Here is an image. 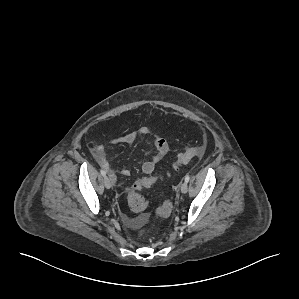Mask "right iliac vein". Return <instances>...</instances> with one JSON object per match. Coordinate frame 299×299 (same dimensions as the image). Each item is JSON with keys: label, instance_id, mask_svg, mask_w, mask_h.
<instances>
[{"label": "right iliac vein", "instance_id": "obj_1", "mask_svg": "<svg viewBox=\"0 0 299 299\" xmlns=\"http://www.w3.org/2000/svg\"><path fill=\"white\" fill-rule=\"evenodd\" d=\"M104 185L107 189H110L112 187V180L109 177L104 178Z\"/></svg>", "mask_w": 299, "mask_h": 299}]
</instances>
